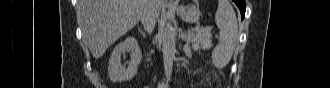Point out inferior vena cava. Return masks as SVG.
Returning a JSON list of instances; mask_svg holds the SVG:
<instances>
[{
	"label": "inferior vena cava",
	"mask_w": 330,
	"mask_h": 88,
	"mask_svg": "<svg viewBox=\"0 0 330 88\" xmlns=\"http://www.w3.org/2000/svg\"><path fill=\"white\" fill-rule=\"evenodd\" d=\"M156 0H147V5L141 15V21L145 30L151 34L159 14L156 9Z\"/></svg>",
	"instance_id": "inferior-vena-cava-1"
}]
</instances>
